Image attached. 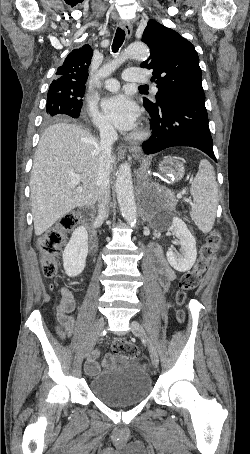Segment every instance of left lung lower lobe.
I'll list each match as a JSON object with an SVG mask.
<instances>
[{
    "mask_svg": "<svg viewBox=\"0 0 250 454\" xmlns=\"http://www.w3.org/2000/svg\"><path fill=\"white\" fill-rule=\"evenodd\" d=\"M147 110L153 132L142 145L145 154L173 146H190L216 161L204 101H171Z\"/></svg>",
    "mask_w": 250,
    "mask_h": 454,
    "instance_id": "obj_1",
    "label": "left lung lower lobe"
}]
</instances>
